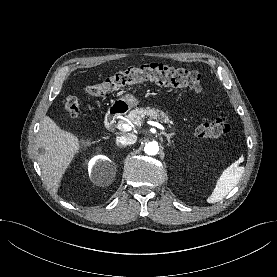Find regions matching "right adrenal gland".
Segmentation results:
<instances>
[{
    "mask_svg": "<svg viewBox=\"0 0 277 277\" xmlns=\"http://www.w3.org/2000/svg\"><path fill=\"white\" fill-rule=\"evenodd\" d=\"M117 145H118L119 147H122V145H120V144H118V143H117Z\"/></svg>",
    "mask_w": 277,
    "mask_h": 277,
    "instance_id": "right-adrenal-gland-1",
    "label": "right adrenal gland"
}]
</instances>
